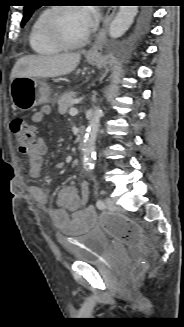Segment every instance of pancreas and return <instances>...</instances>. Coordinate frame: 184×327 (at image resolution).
I'll use <instances>...</instances> for the list:
<instances>
[{
  "label": "pancreas",
  "mask_w": 184,
  "mask_h": 327,
  "mask_svg": "<svg viewBox=\"0 0 184 327\" xmlns=\"http://www.w3.org/2000/svg\"><path fill=\"white\" fill-rule=\"evenodd\" d=\"M76 97V93L68 92L64 93L60 99L57 101L58 103V110L60 114H65L68 109L72 108L74 103V99Z\"/></svg>",
  "instance_id": "1"
}]
</instances>
